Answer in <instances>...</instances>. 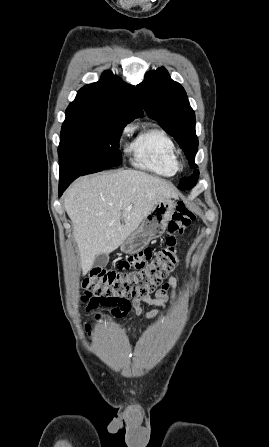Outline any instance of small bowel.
Wrapping results in <instances>:
<instances>
[{
  "mask_svg": "<svg viewBox=\"0 0 269 447\" xmlns=\"http://www.w3.org/2000/svg\"><path fill=\"white\" fill-rule=\"evenodd\" d=\"M177 278L169 274L164 287L158 290L155 297L144 296L131 301V308L138 314L147 318H157L160 315L159 310L146 311L141 307V303H147L155 307L165 308L172 306L176 300ZM94 301V300H92Z\"/></svg>",
  "mask_w": 269,
  "mask_h": 447,
  "instance_id": "obj_1",
  "label": "small bowel"
}]
</instances>
